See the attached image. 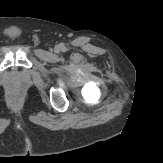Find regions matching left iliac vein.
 <instances>
[{
  "label": "left iliac vein",
  "mask_w": 163,
  "mask_h": 163,
  "mask_svg": "<svg viewBox=\"0 0 163 163\" xmlns=\"http://www.w3.org/2000/svg\"><path fill=\"white\" fill-rule=\"evenodd\" d=\"M60 51V47L59 46H56L55 47V52H59Z\"/></svg>",
  "instance_id": "left-iliac-vein-1"
}]
</instances>
